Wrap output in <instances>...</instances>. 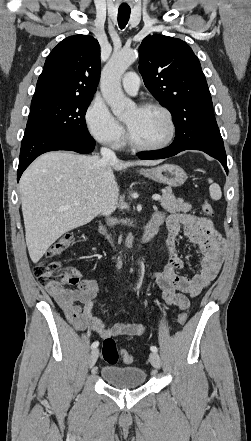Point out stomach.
<instances>
[{
  "label": "stomach",
  "mask_w": 251,
  "mask_h": 441,
  "mask_svg": "<svg viewBox=\"0 0 251 441\" xmlns=\"http://www.w3.org/2000/svg\"><path fill=\"white\" fill-rule=\"evenodd\" d=\"M140 173L151 180L171 187L181 186L187 179L186 172L175 164H164L155 168L141 169Z\"/></svg>",
  "instance_id": "0dacf381"
}]
</instances>
